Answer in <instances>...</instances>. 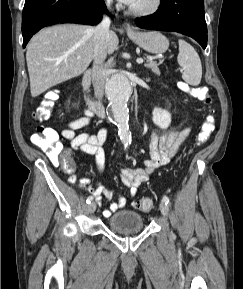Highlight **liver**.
<instances>
[{
	"mask_svg": "<svg viewBox=\"0 0 243 289\" xmlns=\"http://www.w3.org/2000/svg\"><path fill=\"white\" fill-rule=\"evenodd\" d=\"M118 44L117 35L110 31L106 53L112 54ZM94 46L91 26L61 24L39 31L26 52L31 96L81 75L94 58Z\"/></svg>",
	"mask_w": 243,
	"mask_h": 289,
	"instance_id": "obj_1",
	"label": "liver"
}]
</instances>
